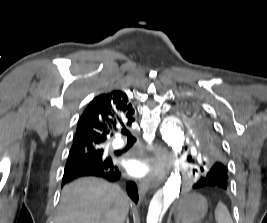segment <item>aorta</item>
Listing matches in <instances>:
<instances>
[{"label":"aorta","mask_w":267,"mask_h":223,"mask_svg":"<svg viewBox=\"0 0 267 223\" xmlns=\"http://www.w3.org/2000/svg\"><path fill=\"white\" fill-rule=\"evenodd\" d=\"M162 139L175 154L180 153L184 144L181 121L175 116L167 117L160 129ZM183 188L179 169L172 172L163 188L153 196L147 213V223H161L162 217L172 202L179 197Z\"/></svg>","instance_id":"aorta-1"}]
</instances>
